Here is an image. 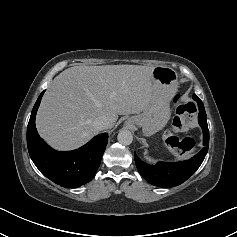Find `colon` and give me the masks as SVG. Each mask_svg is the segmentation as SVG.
I'll use <instances>...</instances> for the list:
<instances>
[{
  "instance_id": "1",
  "label": "colon",
  "mask_w": 237,
  "mask_h": 237,
  "mask_svg": "<svg viewBox=\"0 0 237 237\" xmlns=\"http://www.w3.org/2000/svg\"><path fill=\"white\" fill-rule=\"evenodd\" d=\"M175 105L176 116L172 122V132L178 133L190 130L194 124L196 106L192 102H182L179 95L175 98ZM166 141L179 148L181 151L192 150L195 146V142L192 139H180L173 134H168L166 136Z\"/></svg>"
}]
</instances>
